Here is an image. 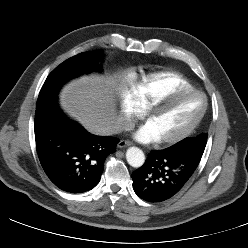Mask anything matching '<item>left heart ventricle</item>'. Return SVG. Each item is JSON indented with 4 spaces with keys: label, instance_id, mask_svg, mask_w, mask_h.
<instances>
[{
    "label": "left heart ventricle",
    "instance_id": "b2bd125f",
    "mask_svg": "<svg viewBox=\"0 0 248 248\" xmlns=\"http://www.w3.org/2000/svg\"><path fill=\"white\" fill-rule=\"evenodd\" d=\"M203 105L204 101L200 95L178 98L157 112L147 124L159 139L175 135L197 118Z\"/></svg>",
    "mask_w": 248,
    "mask_h": 248
}]
</instances>
